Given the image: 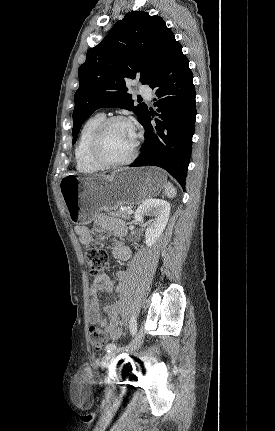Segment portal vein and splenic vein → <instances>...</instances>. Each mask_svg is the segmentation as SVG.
Wrapping results in <instances>:
<instances>
[{
    "mask_svg": "<svg viewBox=\"0 0 275 431\" xmlns=\"http://www.w3.org/2000/svg\"><path fill=\"white\" fill-rule=\"evenodd\" d=\"M127 213H128V214H133V210H132V209H130V208H128V209H127Z\"/></svg>",
    "mask_w": 275,
    "mask_h": 431,
    "instance_id": "18ae733b",
    "label": "portal vein and splenic vein"
}]
</instances>
